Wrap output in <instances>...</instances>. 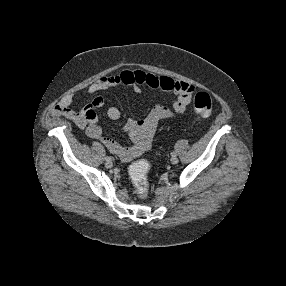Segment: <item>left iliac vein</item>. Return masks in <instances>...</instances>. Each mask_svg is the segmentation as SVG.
<instances>
[{"mask_svg": "<svg viewBox=\"0 0 286 286\" xmlns=\"http://www.w3.org/2000/svg\"><path fill=\"white\" fill-rule=\"evenodd\" d=\"M178 161H179V159H178L176 156H173V157L171 158V163H172V164H177Z\"/></svg>", "mask_w": 286, "mask_h": 286, "instance_id": "obj_1", "label": "left iliac vein"}]
</instances>
